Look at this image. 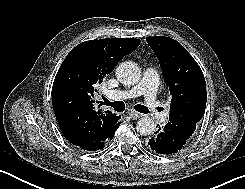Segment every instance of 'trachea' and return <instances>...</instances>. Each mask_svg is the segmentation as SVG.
<instances>
[{"instance_id": "1", "label": "trachea", "mask_w": 245, "mask_h": 189, "mask_svg": "<svg viewBox=\"0 0 245 189\" xmlns=\"http://www.w3.org/2000/svg\"><path fill=\"white\" fill-rule=\"evenodd\" d=\"M102 104L113 107V109L117 112H123L125 110V104L122 101L110 102L109 100L104 98V102ZM134 109L140 113H144V114L149 113L148 108L141 104L135 105Z\"/></svg>"}]
</instances>
